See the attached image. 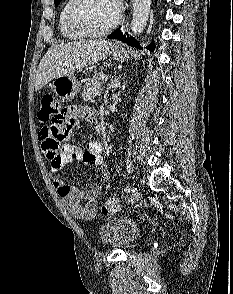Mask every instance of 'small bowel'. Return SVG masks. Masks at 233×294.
<instances>
[{"label":"small bowel","instance_id":"1","mask_svg":"<svg viewBox=\"0 0 233 294\" xmlns=\"http://www.w3.org/2000/svg\"><path fill=\"white\" fill-rule=\"evenodd\" d=\"M88 103L65 104L61 110H52L48 126H43L39 139L42 149L50 164V178L64 205L70 214L82 221L91 220L96 214L97 198L101 192V185L94 184L86 189L76 188L61 177L62 169L69 163L80 160L86 165L98 166L103 174V181L110 176V170L102 156V145L98 141H91L85 150L63 141L73 137L72 129L82 118L95 128L98 123ZM82 117V118H81ZM46 143V144H45Z\"/></svg>","mask_w":233,"mask_h":294}]
</instances>
